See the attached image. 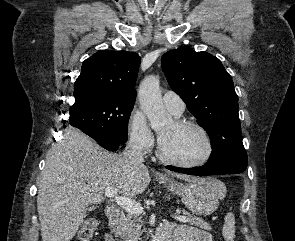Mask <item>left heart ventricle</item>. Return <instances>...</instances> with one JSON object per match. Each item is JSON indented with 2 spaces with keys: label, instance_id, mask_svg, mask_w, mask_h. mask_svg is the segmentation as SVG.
<instances>
[{
  "label": "left heart ventricle",
  "instance_id": "b2bd125f",
  "mask_svg": "<svg viewBox=\"0 0 295 241\" xmlns=\"http://www.w3.org/2000/svg\"><path fill=\"white\" fill-rule=\"evenodd\" d=\"M159 134L165 154L175 160L196 161L206 152L205 140L194 128H181L172 122L162 128Z\"/></svg>",
  "mask_w": 295,
  "mask_h": 241
}]
</instances>
